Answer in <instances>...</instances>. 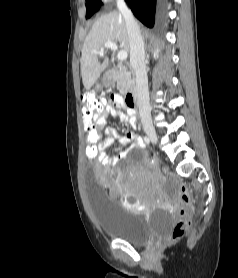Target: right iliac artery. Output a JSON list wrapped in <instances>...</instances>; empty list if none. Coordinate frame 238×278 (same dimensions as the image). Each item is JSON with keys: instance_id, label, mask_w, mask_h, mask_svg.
I'll return each instance as SVG.
<instances>
[{"instance_id": "82829eb1", "label": "right iliac artery", "mask_w": 238, "mask_h": 278, "mask_svg": "<svg viewBox=\"0 0 238 278\" xmlns=\"http://www.w3.org/2000/svg\"><path fill=\"white\" fill-rule=\"evenodd\" d=\"M144 141H145L146 144L150 143V140H149V138L147 136L144 137Z\"/></svg>"}]
</instances>
